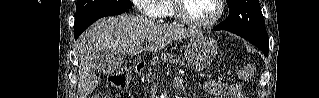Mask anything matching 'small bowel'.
Listing matches in <instances>:
<instances>
[{
	"label": "small bowel",
	"instance_id": "c3829d8e",
	"mask_svg": "<svg viewBox=\"0 0 319 98\" xmlns=\"http://www.w3.org/2000/svg\"><path fill=\"white\" fill-rule=\"evenodd\" d=\"M175 86L177 88H182V81L177 78L175 80ZM205 88L208 93L216 96L223 97L229 95L232 98H245L242 94V87L239 84H232L223 81L212 80L205 84Z\"/></svg>",
	"mask_w": 319,
	"mask_h": 98
}]
</instances>
